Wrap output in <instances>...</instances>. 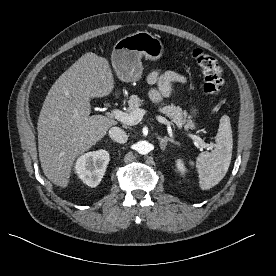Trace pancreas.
<instances>
[{"instance_id": "obj_1", "label": "pancreas", "mask_w": 276, "mask_h": 276, "mask_svg": "<svg viewBox=\"0 0 276 276\" xmlns=\"http://www.w3.org/2000/svg\"><path fill=\"white\" fill-rule=\"evenodd\" d=\"M143 99H140L137 95H131L128 100V111L131 113L136 109H139L143 105ZM159 111L169 117L177 126H184V128H194V123L190 119H186L187 115L182 112L180 107L174 104L163 103L159 107Z\"/></svg>"}]
</instances>
